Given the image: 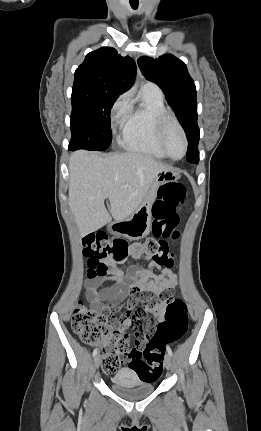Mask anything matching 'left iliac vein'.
<instances>
[{"mask_svg":"<svg viewBox=\"0 0 261 431\" xmlns=\"http://www.w3.org/2000/svg\"><path fill=\"white\" fill-rule=\"evenodd\" d=\"M164 364H165V367H166L167 370L171 369V367H172V359H171V356L169 354L165 355Z\"/></svg>","mask_w":261,"mask_h":431,"instance_id":"left-iliac-vein-1","label":"left iliac vein"}]
</instances>
